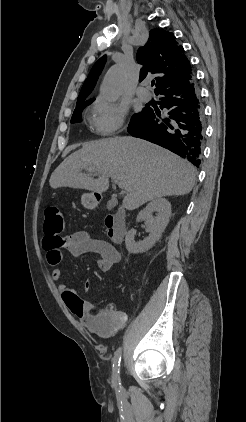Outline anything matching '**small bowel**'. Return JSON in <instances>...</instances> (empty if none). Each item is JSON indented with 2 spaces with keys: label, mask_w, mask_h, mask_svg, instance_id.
<instances>
[{
  "label": "small bowel",
  "mask_w": 246,
  "mask_h": 422,
  "mask_svg": "<svg viewBox=\"0 0 246 422\" xmlns=\"http://www.w3.org/2000/svg\"><path fill=\"white\" fill-rule=\"evenodd\" d=\"M49 265L53 266L52 279L58 281L63 276V270L58 267L62 260L63 251H68L75 257L86 253H96L97 266L101 271H108L120 260L118 249L110 242L93 237L87 231H77L68 236L47 234L42 239ZM90 289V282L86 281L84 290ZM59 292L68 309L91 332L101 336H111L122 329L127 322L125 313L118 311L113 305L100 310L88 301L82 300L77 292L66 284L59 286Z\"/></svg>",
  "instance_id": "small-bowel-1"
}]
</instances>
